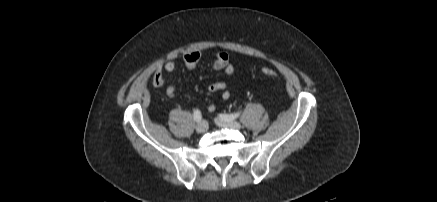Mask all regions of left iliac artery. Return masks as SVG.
Returning a JSON list of instances; mask_svg holds the SVG:
<instances>
[{
  "label": "left iliac artery",
  "instance_id": "obj_1",
  "mask_svg": "<svg viewBox=\"0 0 437 202\" xmlns=\"http://www.w3.org/2000/svg\"><path fill=\"white\" fill-rule=\"evenodd\" d=\"M240 113L241 112H236V113H232V114H220V118L222 120H225V121H233L237 117H239Z\"/></svg>",
  "mask_w": 437,
  "mask_h": 202
}]
</instances>
